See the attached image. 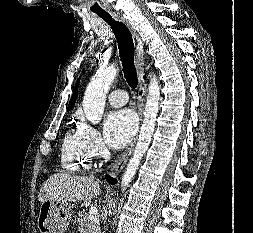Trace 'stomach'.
Segmentation results:
<instances>
[{
	"instance_id": "stomach-1",
	"label": "stomach",
	"mask_w": 253,
	"mask_h": 233,
	"mask_svg": "<svg viewBox=\"0 0 253 233\" xmlns=\"http://www.w3.org/2000/svg\"><path fill=\"white\" fill-rule=\"evenodd\" d=\"M71 216V206L67 202L43 201L38 216L40 233H64L70 224Z\"/></svg>"
}]
</instances>
